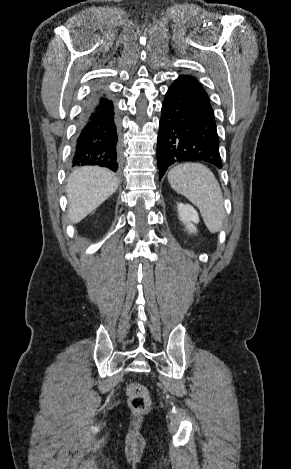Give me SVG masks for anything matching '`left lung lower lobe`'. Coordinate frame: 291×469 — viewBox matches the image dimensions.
I'll return each instance as SVG.
<instances>
[{"mask_svg": "<svg viewBox=\"0 0 291 469\" xmlns=\"http://www.w3.org/2000/svg\"><path fill=\"white\" fill-rule=\"evenodd\" d=\"M194 160L222 167L208 94L194 77L181 75L168 88L162 104L157 141L159 179L173 163Z\"/></svg>", "mask_w": 291, "mask_h": 469, "instance_id": "1", "label": "left lung lower lobe"}]
</instances>
